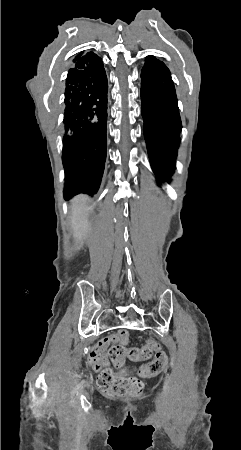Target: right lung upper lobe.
Segmentation results:
<instances>
[{
    "mask_svg": "<svg viewBox=\"0 0 241 450\" xmlns=\"http://www.w3.org/2000/svg\"><path fill=\"white\" fill-rule=\"evenodd\" d=\"M101 60L100 57H98L93 52H85L81 51L73 60V67L82 68L86 65H94L97 62Z\"/></svg>",
    "mask_w": 241,
    "mask_h": 450,
    "instance_id": "right-lung-upper-lobe-1",
    "label": "right lung upper lobe"
}]
</instances>
